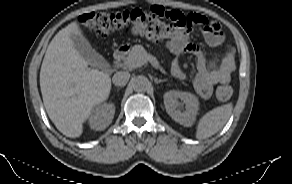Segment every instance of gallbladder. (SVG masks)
Wrapping results in <instances>:
<instances>
[{
	"mask_svg": "<svg viewBox=\"0 0 292 184\" xmlns=\"http://www.w3.org/2000/svg\"><path fill=\"white\" fill-rule=\"evenodd\" d=\"M70 37L75 49L90 65L99 69L105 68V59L92 48L87 39L76 34H72Z\"/></svg>",
	"mask_w": 292,
	"mask_h": 184,
	"instance_id": "1",
	"label": "gallbladder"
}]
</instances>
